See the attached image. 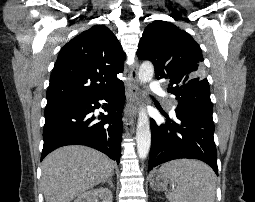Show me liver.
Returning <instances> with one entry per match:
<instances>
[{"instance_id":"obj_1","label":"liver","mask_w":255,"mask_h":202,"mask_svg":"<svg viewBox=\"0 0 255 202\" xmlns=\"http://www.w3.org/2000/svg\"><path fill=\"white\" fill-rule=\"evenodd\" d=\"M115 163L92 148L71 145L56 149L42 162V187L46 202H71L109 179Z\"/></svg>"}]
</instances>
